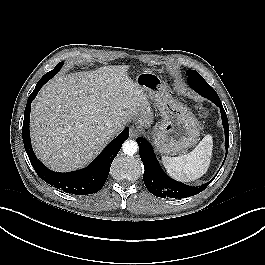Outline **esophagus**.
<instances>
[{"label": "esophagus", "mask_w": 265, "mask_h": 265, "mask_svg": "<svg viewBox=\"0 0 265 265\" xmlns=\"http://www.w3.org/2000/svg\"><path fill=\"white\" fill-rule=\"evenodd\" d=\"M138 134H139V130H138V128L136 127V126H131L130 127V137L131 138H135V137H137L138 136Z\"/></svg>", "instance_id": "34e87169"}]
</instances>
